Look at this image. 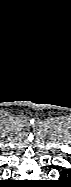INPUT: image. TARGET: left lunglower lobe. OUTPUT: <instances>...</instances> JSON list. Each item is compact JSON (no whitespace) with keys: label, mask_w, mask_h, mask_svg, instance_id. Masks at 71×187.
Wrapping results in <instances>:
<instances>
[{"label":"left lung lower lobe","mask_w":71,"mask_h":187,"mask_svg":"<svg viewBox=\"0 0 71 187\" xmlns=\"http://www.w3.org/2000/svg\"><path fill=\"white\" fill-rule=\"evenodd\" d=\"M70 177H71V171L69 169H64L61 173V179L62 180L67 179L66 181H68V179H70Z\"/></svg>","instance_id":"obj_1"}]
</instances>
